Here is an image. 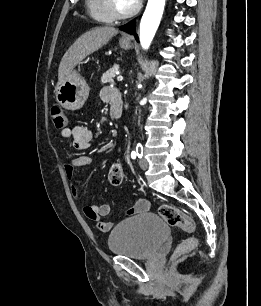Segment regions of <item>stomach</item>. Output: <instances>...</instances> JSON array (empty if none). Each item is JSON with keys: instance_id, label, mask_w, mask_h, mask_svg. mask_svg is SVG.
Masks as SVG:
<instances>
[{"instance_id": "stomach-1", "label": "stomach", "mask_w": 261, "mask_h": 306, "mask_svg": "<svg viewBox=\"0 0 261 306\" xmlns=\"http://www.w3.org/2000/svg\"><path fill=\"white\" fill-rule=\"evenodd\" d=\"M120 47L128 50L131 48L129 41L120 40ZM89 86L85 79L75 70H73L63 81H58L56 86V100L67 110L80 109L89 96Z\"/></svg>"}]
</instances>
